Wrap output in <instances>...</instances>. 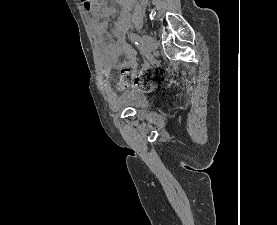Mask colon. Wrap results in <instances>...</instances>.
I'll list each match as a JSON object with an SVG mask.
<instances>
[{
  "mask_svg": "<svg viewBox=\"0 0 277 225\" xmlns=\"http://www.w3.org/2000/svg\"><path fill=\"white\" fill-rule=\"evenodd\" d=\"M124 77L123 83L125 86H134L139 89L150 92L155 88V79L153 70H140L136 73H131L128 69L122 71Z\"/></svg>",
  "mask_w": 277,
  "mask_h": 225,
  "instance_id": "colon-1",
  "label": "colon"
}]
</instances>
